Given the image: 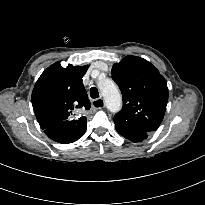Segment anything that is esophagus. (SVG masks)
<instances>
[{
  "label": "esophagus",
  "mask_w": 205,
  "mask_h": 205,
  "mask_svg": "<svg viewBox=\"0 0 205 205\" xmlns=\"http://www.w3.org/2000/svg\"><path fill=\"white\" fill-rule=\"evenodd\" d=\"M92 106L97 109H102L105 106L103 98H98L92 101Z\"/></svg>",
  "instance_id": "1"
}]
</instances>
